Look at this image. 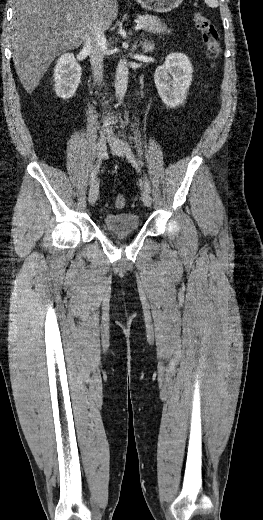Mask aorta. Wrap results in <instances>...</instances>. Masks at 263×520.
<instances>
[{"label": "aorta", "instance_id": "obj_1", "mask_svg": "<svg viewBox=\"0 0 263 520\" xmlns=\"http://www.w3.org/2000/svg\"><path fill=\"white\" fill-rule=\"evenodd\" d=\"M128 74L129 69L125 60H120L116 68L115 78V95L120 103L123 100L127 91Z\"/></svg>", "mask_w": 263, "mask_h": 520}]
</instances>
